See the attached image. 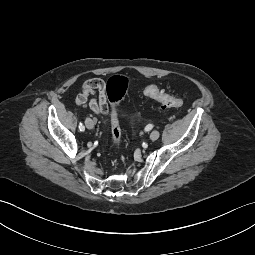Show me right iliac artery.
Returning a JSON list of instances; mask_svg holds the SVG:
<instances>
[{
	"label": "right iliac artery",
	"mask_w": 255,
	"mask_h": 255,
	"mask_svg": "<svg viewBox=\"0 0 255 255\" xmlns=\"http://www.w3.org/2000/svg\"><path fill=\"white\" fill-rule=\"evenodd\" d=\"M79 130L80 131H84L85 130V127L82 123L79 124Z\"/></svg>",
	"instance_id": "obj_1"
}]
</instances>
